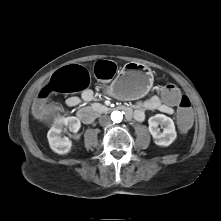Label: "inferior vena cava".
I'll list each match as a JSON object with an SVG mask.
<instances>
[{
  "label": "inferior vena cava",
  "mask_w": 221,
  "mask_h": 221,
  "mask_svg": "<svg viewBox=\"0 0 221 221\" xmlns=\"http://www.w3.org/2000/svg\"><path fill=\"white\" fill-rule=\"evenodd\" d=\"M99 123L101 126H108L111 123V120L108 115H103L99 118Z\"/></svg>",
  "instance_id": "inferior-vena-cava-1"
}]
</instances>
